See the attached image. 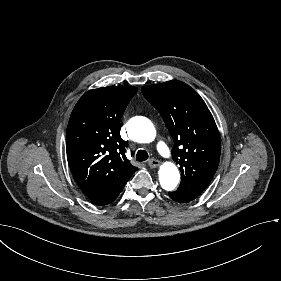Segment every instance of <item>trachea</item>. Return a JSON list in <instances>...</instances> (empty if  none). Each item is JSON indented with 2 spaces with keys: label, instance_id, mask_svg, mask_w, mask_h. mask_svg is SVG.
Wrapping results in <instances>:
<instances>
[{
  "label": "trachea",
  "instance_id": "obj_1",
  "mask_svg": "<svg viewBox=\"0 0 281 281\" xmlns=\"http://www.w3.org/2000/svg\"><path fill=\"white\" fill-rule=\"evenodd\" d=\"M148 159V153L145 150H139L136 154V160L139 162L146 161Z\"/></svg>",
  "mask_w": 281,
  "mask_h": 281
}]
</instances>
